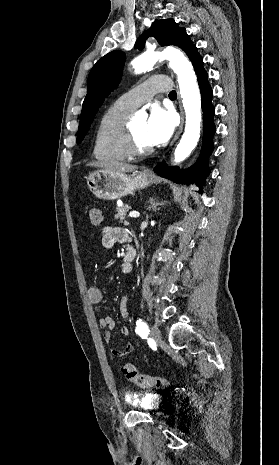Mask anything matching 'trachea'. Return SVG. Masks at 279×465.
Segmentation results:
<instances>
[{
	"mask_svg": "<svg viewBox=\"0 0 279 465\" xmlns=\"http://www.w3.org/2000/svg\"><path fill=\"white\" fill-rule=\"evenodd\" d=\"M169 97H170V98H175V97H176V91H175V90L171 91V92L169 93Z\"/></svg>",
	"mask_w": 279,
	"mask_h": 465,
	"instance_id": "obj_1",
	"label": "trachea"
}]
</instances>
